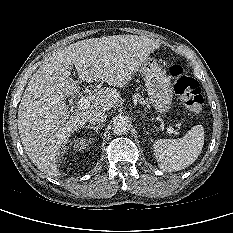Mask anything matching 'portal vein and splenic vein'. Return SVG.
Returning <instances> with one entry per match:
<instances>
[{
    "label": "portal vein and splenic vein",
    "mask_w": 233,
    "mask_h": 233,
    "mask_svg": "<svg viewBox=\"0 0 233 233\" xmlns=\"http://www.w3.org/2000/svg\"><path fill=\"white\" fill-rule=\"evenodd\" d=\"M90 106V99L88 97H82L79 102H78V105H77V110H83V109H86L87 107ZM167 132L170 134V135H173V134H178L177 131H175L173 128L171 127H167Z\"/></svg>",
    "instance_id": "portal-vein-and-splenic-vein-1"
}]
</instances>
